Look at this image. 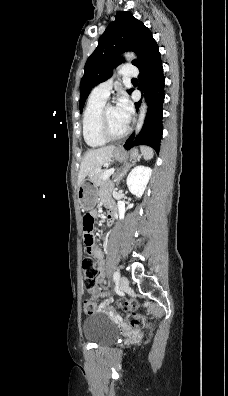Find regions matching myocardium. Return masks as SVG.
<instances>
[{"mask_svg":"<svg viewBox=\"0 0 228 396\" xmlns=\"http://www.w3.org/2000/svg\"><path fill=\"white\" fill-rule=\"evenodd\" d=\"M113 106L111 103H105L99 114V132L106 141L119 140L127 136L130 131L129 125L119 134H113L107 124V109Z\"/></svg>","mask_w":228,"mask_h":396,"instance_id":"f54148a6","label":"myocardium"}]
</instances>
